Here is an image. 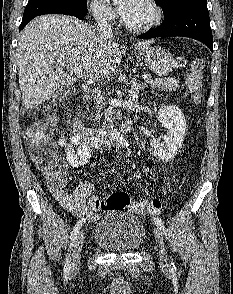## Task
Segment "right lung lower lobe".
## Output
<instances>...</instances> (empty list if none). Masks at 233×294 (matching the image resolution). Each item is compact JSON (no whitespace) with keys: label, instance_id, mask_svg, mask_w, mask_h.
<instances>
[{"label":"right lung lower lobe","instance_id":"obj_1","mask_svg":"<svg viewBox=\"0 0 233 294\" xmlns=\"http://www.w3.org/2000/svg\"><path fill=\"white\" fill-rule=\"evenodd\" d=\"M86 14H87V8L85 10L80 11V12L73 13L72 16H75V17L82 20V19H84ZM27 23L28 22H25V23L22 22L20 25V30H22L26 26Z\"/></svg>","mask_w":233,"mask_h":294}]
</instances>
